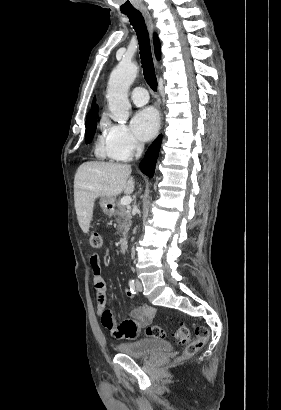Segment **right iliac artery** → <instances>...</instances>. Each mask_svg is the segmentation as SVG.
<instances>
[{
    "mask_svg": "<svg viewBox=\"0 0 281 410\" xmlns=\"http://www.w3.org/2000/svg\"><path fill=\"white\" fill-rule=\"evenodd\" d=\"M129 286H130L131 291L135 294L136 293V283L133 279L129 281Z\"/></svg>",
    "mask_w": 281,
    "mask_h": 410,
    "instance_id": "obj_1",
    "label": "right iliac artery"
}]
</instances>
